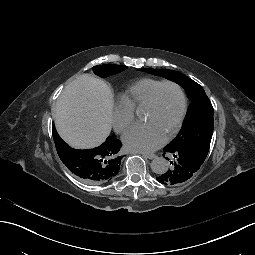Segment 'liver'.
I'll use <instances>...</instances> for the list:
<instances>
[{
    "label": "liver",
    "mask_w": 255,
    "mask_h": 255,
    "mask_svg": "<svg viewBox=\"0 0 255 255\" xmlns=\"http://www.w3.org/2000/svg\"><path fill=\"white\" fill-rule=\"evenodd\" d=\"M114 95L100 78L80 75L65 86L54 108L61 138L76 149H90L105 142L112 129Z\"/></svg>",
    "instance_id": "1"
}]
</instances>
